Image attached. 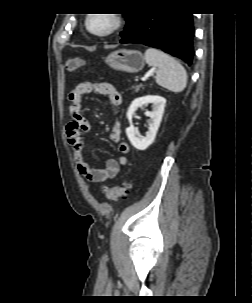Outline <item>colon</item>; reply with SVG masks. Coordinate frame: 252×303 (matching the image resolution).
<instances>
[{
  "label": "colon",
  "mask_w": 252,
  "mask_h": 303,
  "mask_svg": "<svg viewBox=\"0 0 252 303\" xmlns=\"http://www.w3.org/2000/svg\"><path fill=\"white\" fill-rule=\"evenodd\" d=\"M85 65H86L85 60H83L81 58H72V59L67 60L66 69L69 72H73ZM128 190H129V185L127 183H123L118 186L104 187L103 194L107 200L115 201V200L125 197L128 193Z\"/></svg>",
  "instance_id": "obj_1"
}]
</instances>
